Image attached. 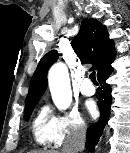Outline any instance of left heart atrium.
Segmentation results:
<instances>
[{"label":"left heart atrium","instance_id":"obj_1","mask_svg":"<svg viewBox=\"0 0 130 153\" xmlns=\"http://www.w3.org/2000/svg\"><path fill=\"white\" fill-rule=\"evenodd\" d=\"M85 108L91 116H94L97 112L96 105L93 101H87L85 104Z\"/></svg>","mask_w":130,"mask_h":153}]
</instances>
